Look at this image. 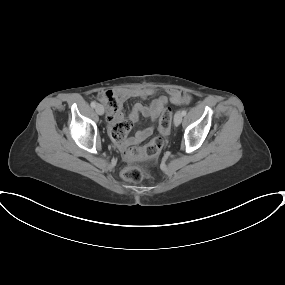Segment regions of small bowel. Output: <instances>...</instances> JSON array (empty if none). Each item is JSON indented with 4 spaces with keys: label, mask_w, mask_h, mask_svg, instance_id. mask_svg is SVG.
Segmentation results:
<instances>
[{
    "label": "small bowel",
    "mask_w": 285,
    "mask_h": 285,
    "mask_svg": "<svg viewBox=\"0 0 285 285\" xmlns=\"http://www.w3.org/2000/svg\"><path fill=\"white\" fill-rule=\"evenodd\" d=\"M118 97L121 102L129 98H140L147 99L155 94L153 88H139V89H123L115 92H108ZM191 100V96L185 93H181L178 90L170 89L165 96H160L154 99L149 105H143L141 103H136L130 110L128 118L131 122H138L140 116L149 118L152 122L156 121L161 111L168 104H187ZM107 120L110 124V128L114 127L116 124L124 121V115L122 112L110 113L107 112ZM153 127H147L143 130L138 131L133 137L126 138L124 142L120 145L122 148H127L128 146L145 141L153 134Z\"/></svg>",
    "instance_id": "small-bowel-1"
}]
</instances>
